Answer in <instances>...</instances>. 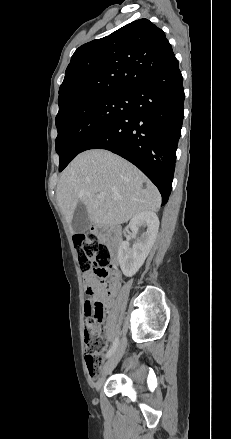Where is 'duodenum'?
<instances>
[{
    "label": "duodenum",
    "instance_id": "410a0bca",
    "mask_svg": "<svg viewBox=\"0 0 231 439\" xmlns=\"http://www.w3.org/2000/svg\"><path fill=\"white\" fill-rule=\"evenodd\" d=\"M99 231H103V230H100V229H99ZM107 232H108L110 235H113V236H118V235H119V230H118L117 228L109 227V228L107 229Z\"/></svg>",
    "mask_w": 231,
    "mask_h": 439
}]
</instances>
